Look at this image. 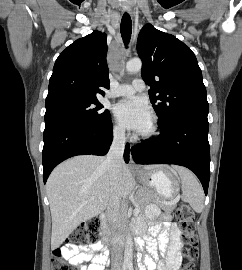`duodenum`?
<instances>
[{
    "instance_id": "duodenum-1",
    "label": "duodenum",
    "mask_w": 242,
    "mask_h": 270,
    "mask_svg": "<svg viewBox=\"0 0 242 270\" xmlns=\"http://www.w3.org/2000/svg\"><path fill=\"white\" fill-rule=\"evenodd\" d=\"M108 219H109V213L108 212H104L100 215V222L102 224V228H103V233H104V244H109V245H118L120 243H122L125 238L123 239H119V238H113L110 236V232L108 229ZM130 235L131 236H135L136 232H135V228L133 227L130 231Z\"/></svg>"
}]
</instances>
